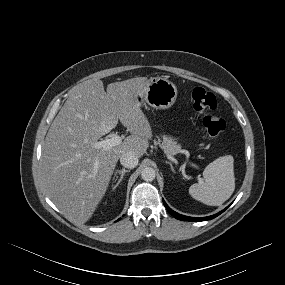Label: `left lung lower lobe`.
<instances>
[{"mask_svg":"<svg viewBox=\"0 0 285 285\" xmlns=\"http://www.w3.org/2000/svg\"><path fill=\"white\" fill-rule=\"evenodd\" d=\"M163 203L171 215H173L175 218H177L179 220H183V221H196V222H198V221L210 220V219L217 217L218 215H220L222 212H224L227 209V208H225L224 210H222L219 213L214 214L212 216L203 217V218H195V217H189V216H184V215L178 214L175 211H173L171 208H169V206H167V204L165 203L164 200H163Z\"/></svg>","mask_w":285,"mask_h":285,"instance_id":"1","label":"left lung lower lobe"}]
</instances>
